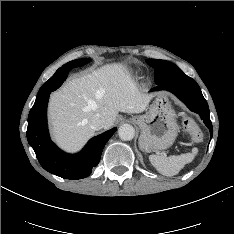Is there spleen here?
I'll return each mask as SVG.
<instances>
[{
    "instance_id": "obj_1",
    "label": "spleen",
    "mask_w": 234,
    "mask_h": 234,
    "mask_svg": "<svg viewBox=\"0 0 234 234\" xmlns=\"http://www.w3.org/2000/svg\"><path fill=\"white\" fill-rule=\"evenodd\" d=\"M197 151H192L186 154L163 156L150 155L149 160L156 170L165 176H174L188 163L195 158Z\"/></svg>"
}]
</instances>
